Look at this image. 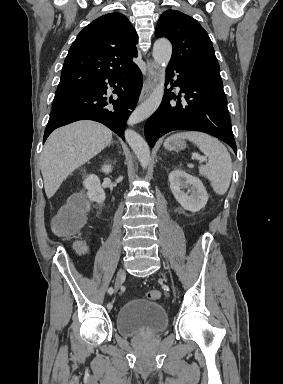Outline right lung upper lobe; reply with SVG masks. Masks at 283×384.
I'll list each match as a JSON object with an SVG mask.
<instances>
[{
  "label": "right lung upper lobe",
  "mask_w": 283,
  "mask_h": 384,
  "mask_svg": "<svg viewBox=\"0 0 283 384\" xmlns=\"http://www.w3.org/2000/svg\"><path fill=\"white\" fill-rule=\"evenodd\" d=\"M138 35L120 13L103 15L77 36L65 59L58 90L88 89L126 74L137 65Z\"/></svg>",
  "instance_id": "right-lung-upper-lobe-1"
}]
</instances>
